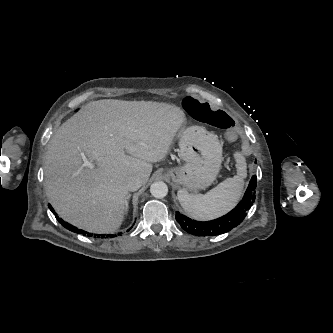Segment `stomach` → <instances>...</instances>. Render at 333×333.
Listing matches in <instances>:
<instances>
[{
    "mask_svg": "<svg viewBox=\"0 0 333 333\" xmlns=\"http://www.w3.org/2000/svg\"><path fill=\"white\" fill-rule=\"evenodd\" d=\"M180 156L186 162L167 171V175L185 191L196 192L210 186L222 163V145L217 135L200 126L179 133Z\"/></svg>",
    "mask_w": 333,
    "mask_h": 333,
    "instance_id": "stomach-1",
    "label": "stomach"
}]
</instances>
